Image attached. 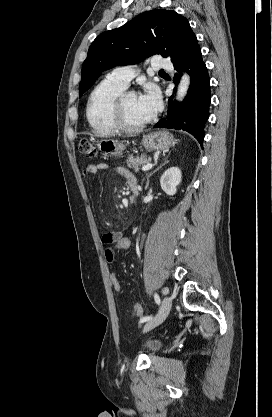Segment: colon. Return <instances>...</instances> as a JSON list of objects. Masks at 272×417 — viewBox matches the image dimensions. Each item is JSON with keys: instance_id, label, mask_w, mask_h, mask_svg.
<instances>
[{"instance_id": "colon-1", "label": "colon", "mask_w": 272, "mask_h": 417, "mask_svg": "<svg viewBox=\"0 0 272 417\" xmlns=\"http://www.w3.org/2000/svg\"><path fill=\"white\" fill-rule=\"evenodd\" d=\"M78 149H79V153L83 156L93 157L96 155V147L94 146L92 141L89 140L88 138H82L79 141ZM130 244L131 243H130L129 238L123 235L113 239L107 245L106 250H105L107 261L109 263H113L115 259V255L117 253L127 251L130 247ZM111 283L115 291L117 292L121 291V284L115 272L111 273ZM141 308L142 306L139 303L135 302L133 304L132 316H139L141 314Z\"/></svg>"}]
</instances>
